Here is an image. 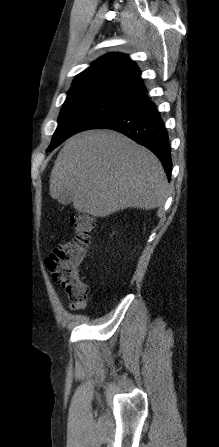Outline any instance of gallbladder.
<instances>
[{
	"label": "gallbladder",
	"mask_w": 219,
	"mask_h": 447,
	"mask_svg": "<svg viewBox=\"0 0 219 447\" xmlns=\"http://www.w3.org/2000/svg\"><path fill=\"white\" fill-rule=\"evenodd\" d=\"M59 203L63 204V205H68L72 202L71 198L68 196L66 198H59L58 200Z\"/></svg>",
	"instance_id": "bac80fb5"
}]
</instances>
